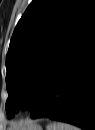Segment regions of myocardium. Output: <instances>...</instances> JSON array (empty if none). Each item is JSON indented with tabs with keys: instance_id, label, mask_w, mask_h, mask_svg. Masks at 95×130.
<instances>
[{
	"instance_id": "obj_1",
	"label": "myocardium",
	"mask_w": 95,
	"mask_h": 130,
	"mask_svg": "<svg viewBox=\"0 0 95 130\" xmlns=\"http://www.w3.org/2000/svg\"><path fill=\"white\" fill-rule=\"evenodd\" d=\"M37 99V93L33 90H28L22 95V102L32 104Z\"/></svg>"
}]
</instances>
